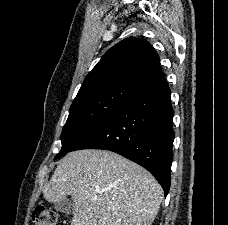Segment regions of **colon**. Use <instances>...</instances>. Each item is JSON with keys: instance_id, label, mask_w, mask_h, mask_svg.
<instances>
[{"instance_id": "5ec220e1", "label": "colon", "mask_w": 228, "mask_h": 225, "mask_svg": "<svg viewBox=\"0 0 228 225\" xmlns=\"http://www.w3.org/2000/svg\"><path fill=\"white\" fill-rule=\"evenodd\" d=\"M34 225H58L57 214L51 208L39 204L33 211Z\"/></svg>"}]
</instances>
